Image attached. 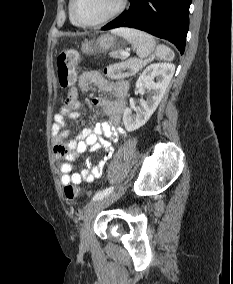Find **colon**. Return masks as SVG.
Listing matches in <instances>:
<instances>
[{
    "label": "colon",
    "instance_id": "obj_1",
    "mask_svg": "<svg viewBox=\"0 0 233 284\" xmlns=\"http://www.w3.org/2000/svg\"><path fill=\"white\" fill-rule=\"evenodd\" d=\"M154 59L171 61L173 59V51L166 45H159L154 53L147 58H134L116 63L105 68L104 72L109 78L118 80L133 75ZM79 61L80 56L78 52L72 49L63 50L57 55V76L62 88H69L76 82V66ZM64 194L67 199L73 200L79 196L80 190L75 185H67L64 188Z\"/></svg>",
    "mask_w": 233,
    "mask_h": 284
}]
</instances>
